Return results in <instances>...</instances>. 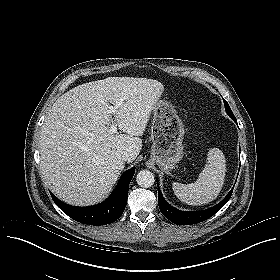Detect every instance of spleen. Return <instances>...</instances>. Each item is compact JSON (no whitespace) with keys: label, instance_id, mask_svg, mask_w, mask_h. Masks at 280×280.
Returning <instances> with one entry per match:
<instances>
[{"label":"spleen","instance_id":"spleen-1","mask_svg":"<svg viewBox=\"0 0 280 280\" xmlns=\"http://www.w3.org/2000/svg\"><path fill=\"white\" fill-rule=\"evenodd\" d=\"M226 164L223 152L212 148L207 154V163L198 179L191 184L173 183V191L179 200L189 205H203L219 195L225 180Z\"/></svg>","mask_w":280,"mask_h":280}]
</instances>
